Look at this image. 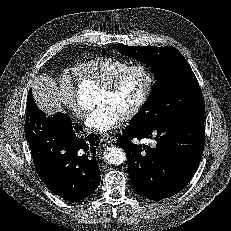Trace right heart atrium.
<instances>
[{"instance_id": "right-heart-atrium-1", "label": "right heart atrium", "mask_w": 231, "mask_h": 231, "mask_svg": "<svg viewBox=\"0 0 231 231\" xmlns=\"http://www.w3.org/2000/svg\"><path fill=\"white\" fill-rule=\"evenodd\" d=\"M53 95L62 107L71 111L75 116H84L85 110L77 100L75 82L70 75L61 73L56 76Z\"/></svg>"}]
</instances>
